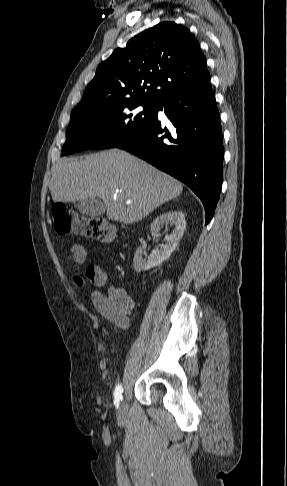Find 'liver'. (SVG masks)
I'll return each mask as SVG.
<instances>
[{
	"mask_svg": "<svg viewBox=\"0 0 287 486\" xmlns=\"http://www.w3.org/2000/svg\"><path fill=\"white\" fill-rule=\"evenodd\" d=\"M49 189L54 202L101 198L108 219L124 224L142 220L183 190L176 179L118 149L59 159Z\"/></svg>",
	"mask_w": 287,
	"mask_h": 486,
	"instance_id": "obj_1",
	"label": "liver"
}]
</instances>
